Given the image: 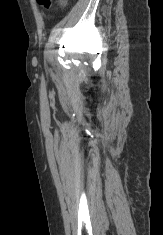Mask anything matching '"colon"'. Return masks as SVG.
Here are the masks:
<instances>
[{"mask_svg":"<svg viewBox=\"0 0 163 235\" xmlns=\"http://www.w3.org/2000/svg\"><path fill=\"white\" fill-rule=\"evenodd\" d=\"M45 9H57L67 5L68 0H36Z\"/></svg>","mask_w":163,"mask_h":235,"instance_id":"colon-1","label":"colon"}]
</instances>
